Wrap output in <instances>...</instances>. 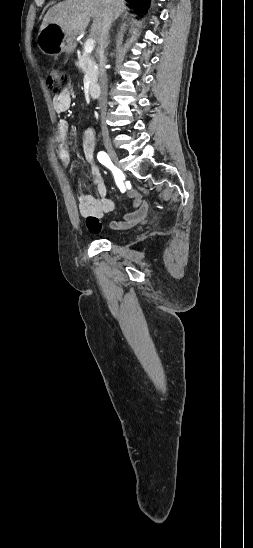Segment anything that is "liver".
Returning a JSON list of instances; mask_svg holds the SVG:
<instances>
[{"label":"liver","mask_w":253,"mask_h":548,"mask_svg":"<svg viewBox=\"0 0 253 548\" xmlns=\"http://www.w3.org/2000/svg\"><path fill=\"white\" fill-rule=\"evenodd\" d=\"M116 19L127 10L124 0H116ZM105 14V0H64L52 6L43 18L40 29L49 24L59 26L67 36L75 37L87 28L93 17L91 36L99 37Z\"/></svg>","instance_id":"obj_1"}]
</instances>
